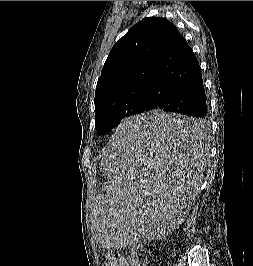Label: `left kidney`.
Returning a JSON list of instances; mask_svg holds the SVG:
<instances>
[{"label": "left kidney", "instance_id": "1", "mask_svg": "<svg viewBox=\"0 0 253 266\" xmlns=\"http://www.w3.org/2000/svg\"><path fill=\"white\" fill-rule=\"evenodd\" d=\"M192 202L191 201H189V204H191ZM185 205L184 207L186 208V209H188L189 207H190V205ZM177 223V222H176ZM176 223H175V225H176Z\"/></svg>", "mask_w": 253, "mask_h": 266}]
</instances>
